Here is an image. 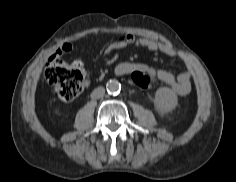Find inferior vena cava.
I'll return each instance as SVG.
<instances>
[{
    "mask_svg": "<svg viewBox=\"0 0 236 182\" xmlns=\"http://www.w3.org/2000/svg\"><path fill=\"white\" fill-rule=\"evenodd\" d=\"M104 94H105V89L103 87H98L93 90V92L91 93V97L94 99H99L102 98Z\"/></svg>",
    "mask_w": 236,
    "mask_h": 182,
    "instance_id": "1",
    "label": "inferior vena cava"
}]
</instances>
